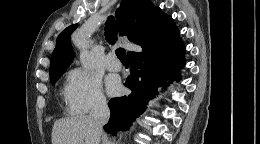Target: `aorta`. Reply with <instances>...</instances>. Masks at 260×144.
Returning a JSON list of instances; mask_svg holds the SVG:
<instances>
[{
	"label": "aorta",
	"mask_w": 260,
	"mask_h": 144,
	"mask_svg": "<svg viewBox=\"0 0 260 144\" xmlns=\"http://www.w3.org/2000/svg\"><path fill=\"white\" fill-rule=\"evenodd\" d=\"M91 44L92 41L90 39H81L78 41V47L81 50L80 52L81 64L87 70L93 69L95 64L94 57L88 50Z\"/></svg>",
	"instance_id": "obj_1"
}]
</instances>
